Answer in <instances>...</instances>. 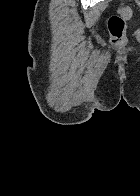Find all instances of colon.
<instances>
[{"instance_id": "5ec220e1", "label": "colon", "mask_w": 140, "mask_h": 196, "mask_svg": "<svg viewBox=\"0 0 140 196\" xmlns=\"http://www.w3.org/2000/svg\"><path fill=\"white\" fill-rule=\"evenodd\" d=\"M132 16L128 6H120L108 19V29L111 34V43L116 49H123L127 43L126 24Z\"/></svg>"}]
</instances>
